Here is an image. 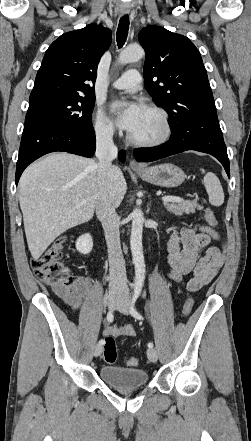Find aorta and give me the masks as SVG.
<instances>
[{
	"label": "aorta",
	"mask_w": 251,
	"mask_h": 441,
	"mask_svg": "<svg viewBox=\"0 0 251 441\" xmlns=\"http://www.w3.org/2000/svg\"><path fill=\"white\" fill-rule=\"evenodd\" d=\"M145 55L141 47H127L124 49L118 58L120 64L131 63L140 60ZM132 228L130 236V247L132 252V260L135 267V289L140 290L145 279V263L142 247V232L144 215L141 209L136 208L131 213Z\"/></svg>",
	"instance_id": "aorta-1"
}]
</instances>
